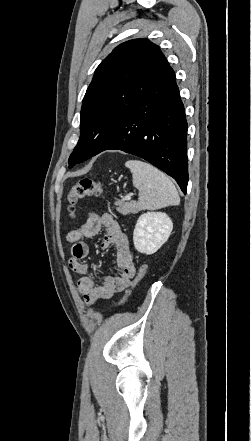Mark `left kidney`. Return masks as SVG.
<instances>
[{"instance_id": "obj_1", "label": "left kidney", "mask_w": 251, "mask_h": 441, "mask_svg": "<svg viewBox=\"0 0 251 441\" xmlns=\"http://www.w3.org/2000/svg\"><path fill=\"white\" fill-rule=\"evenodd\" d=\"M173 229L172 220L163 212H146L136 223L133 242L135 249L143 254L157 252L168 240Z\"/></svg>"}]
</instances>
